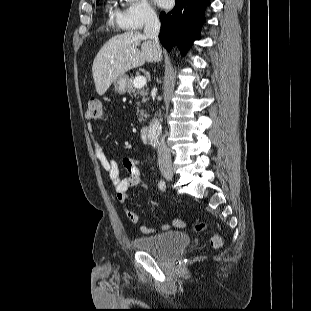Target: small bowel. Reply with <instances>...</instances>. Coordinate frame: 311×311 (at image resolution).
I'll return each instance as SVG.
<instances>
[{"label": "small bowel", "mask_w": 311, "mask_h": 311, "mask_svg": "<svg viewBox=\"0 0 311 311\" xmlns=\"http://www.w3.org/2000/svg\"><path fill=\"white\" fill-rule=\"evenodd\" d=\"M88 130L93 140L95 157L99 161L102 169L107 173V176L110 182L112 183L118 201L122 204L125 203L129 198L128 191L131 188L134 187L146 188L145 183L141 179L139 162L131 158H124L123 166L127 170V174L121 177L117 162L107 157L101 145L97 142L94 135V128L92 124H88ZM125 213L131 222L138 223L140 221V216L136 212L129 209H125ZM173 225L177 227H183L185 226V222L182 220H174ZM160 228L161 230L166 231L170 229V225L163 224L161 225ZM140 231L143 234H150L154 232L152 228L146 225H142L140 227Z\"/></svg>", "instance_id": "1"}]
</instances>
